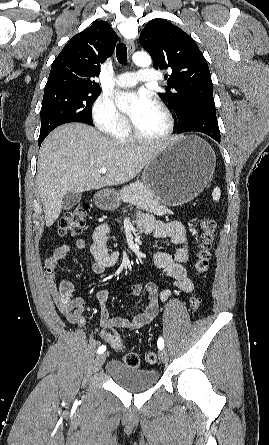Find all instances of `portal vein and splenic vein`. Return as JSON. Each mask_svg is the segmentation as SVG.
Here are the masks:
<instances>
[{
    "label": "portal vein and splenic vein",
    "mask_w": 269,
    "mask_h": 445,
    "mask_svg": "<svg viewBox=\"0 0 269 445\" xmlns=\"http://www.w3.org/2000/svg\"><path fill=\"white\" fill-rule=\"evenodd\" d=\"M107 168L106 167H102L100 168V170L98 171L100 174H105L107 172Z\"/></svg>",
    "instance_id": "portal-vein-and-splenic-vein-1"
}]
</instances>
